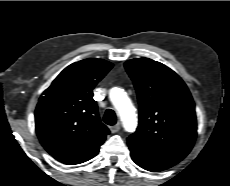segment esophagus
<instances>
[{"mask_svg": "<svg viewBox=\"0 0 230 186\" xmlns=\"http://www.w3.org/2000/svg\"><path fill=\"white\" fill-rule=\"evenodd\" d=\"M119 130H120V124L119 123L110 127L111 133H117Z\"/></svg>", "mask_w": 230, "mask_h": 186, "instance_id": "obj_1", "label": "esophagus"}]
</instances>
